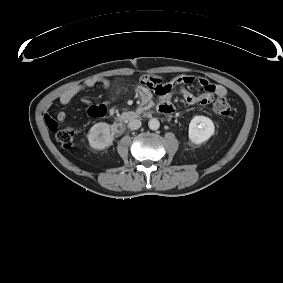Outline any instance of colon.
<instances>
[{"instance_id":"1","label":"colon","mask_w":283,"mask_h":283,"mask_svg":"<svg viewBox=\"0 0 283 283\" xmlns=\"http://www.w3.org/2000/svg\"><path fill=\"white\" fill-rule=\"evenodd\" d=\"M211 111L219 116H228L231 108L225 98H219L213 102ZM75 132L71 128H64L56 133V140L63 147H70L74 142Z\"/></svg>"}]
</instances>
